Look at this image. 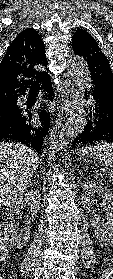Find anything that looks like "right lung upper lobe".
<instances>
[{"mask_svg":"<svg viewBox=\"0 0 113 279\" xmlns=\"http://www.w3.org/2000/svg\"><path fill=\"white\" fill-rule=\"evenodd\" d=\"M44 43L32 28L23 30L12 41L0 63V109L16 104L25 94L29 78L40 81L47 73L38 72L35 65L46 66Z\"/></svg>","mask_w":113,"mask_h":279,"instance_id":"right-lung-upper-lobe-1","label":"right lung upper lobe"}]
</instances>
